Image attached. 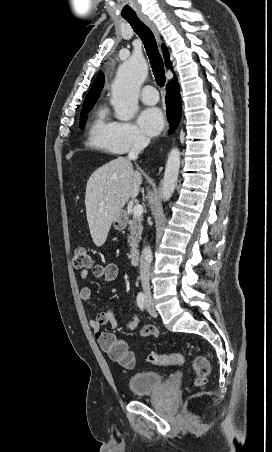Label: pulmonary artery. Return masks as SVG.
Here are the masks:
<instances>
[{"instance_id":"e3ab8cb5","label":"pulmonary artery","mask_w":272,"mask_h":452,"mask_svg":"<svg viewBox=\"0 0 272 452\" xmlns=\"http://www.w3.org/2000/svg\"><path fill=\"white\" fill-rule=\"evenodd\" d=\"M140 98L143 103L148 105L156 104L159 100L157 90L152 85L143 87Z\"/></svg>"}]
</instances>
